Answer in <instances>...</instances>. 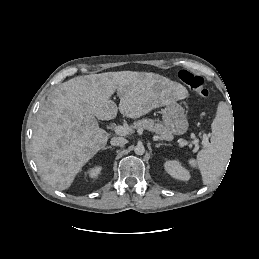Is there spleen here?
Instances as JSON below:
<instances>
[{
    "label": "spleen",
    "mask_w": 259,
    "mask_h": 259,
    "mask_svg": "<svg viewBox=\"0 0 259 259\" xmlns=\"http://www.w3.org/2000/svg\"><path fill=\"white\" fill-rule=\"evenodd\" d=\"M211 128L210 144L199 151L196 160L188 161L190 166L199 168L205 185L212 183L223 174L232 151V114L225 102L218 104Z\"/></svg>",
    "instance_id": "3e777b00"
}]
</instances>
